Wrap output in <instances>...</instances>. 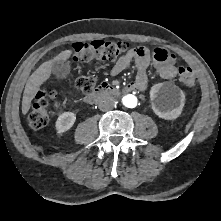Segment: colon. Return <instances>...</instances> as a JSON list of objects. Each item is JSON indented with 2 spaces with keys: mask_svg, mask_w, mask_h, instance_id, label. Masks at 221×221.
I'll return each instance as SVG.
<instances>
[{
  "mask_svg": "<svg viewBox=\"0 0 221 221\" xmlns=\"http://www.w3.org/2000/svg\"><path fill=\"white\" fill-rule=\"evenodd\" d=\"M129 44L125 41H93L88 44L76 43L73 45L74 59L79 62L91 60H115L128 52ZM178 79L186 87L192 88L196 84L195 75L188 67H180ZM95 77L91 74L80 75L76 79V86L85 94H90L95 87ZM60 105L54 92L40 89L36 92L31 106L28 121L32 128L45 127L50 119L53 107Z\"/></svg>",
  "mask_w": 221,
  "mask_h": 221,
  "instance_id": "colon-1",
  "label": "colon"
}]
</instances>
